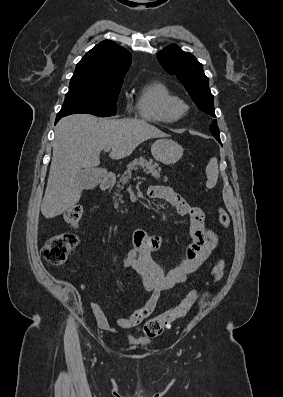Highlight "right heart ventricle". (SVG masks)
<instances>
[{"mask_svg": "<svg viewBox=\"0 0 283 397\" xmlns=\"http://www.w3.org/2000/svg\"><path fill=\"white\" fill-rule=\"evenodd\" d=\"M178 97L164 83L152 80L142 85L136 96L139 116L152 123H171L178 118L171 106Z\"/></svg>", "mask_w": 283, "mask_h": 397, "instance_id": "obj_1", "label": "right heart ventricle"}]
</instances>
